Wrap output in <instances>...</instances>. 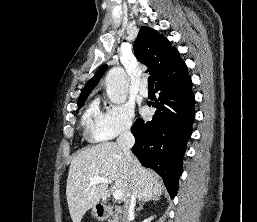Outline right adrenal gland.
Listing matches in <instances>:
<instances>
[{"instance_id": "right-adrenal-gland-1", "label": "right adrenal gland", "mask_w": 257, "mask_h": 222, "mask_svg": "<svg viewBox=\"0 0 257 222\" xmlns=\"http://www.w3.org/2000/svg\"><path fill=\"white\" fill-rule=\"evenodd\" d=\"M144 202H145V201H142V202L140 203L139 207H138L136 210L142 209V207H143V205H144Z\"/></svg>"}]
</instances>
